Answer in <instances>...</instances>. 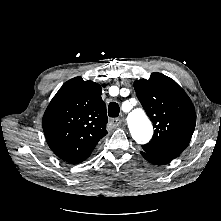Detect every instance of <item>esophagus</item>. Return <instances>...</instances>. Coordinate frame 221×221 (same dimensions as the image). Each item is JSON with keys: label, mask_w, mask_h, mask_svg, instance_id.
Returning a JSON list of instances; mask_svg holds the SVG:
<instances>
[{"label": "esophagus", "mask_w": 221, "mask_h": 221, "mask_svg": "<svg viewBox=\"0 0 221 221\" xmlns=\"http://www.w3.org/2000/svg\"><path fill=\"white\" fill-rule=\"evenodd\" d=\"M121 123H122V119H120V118H113L110 120V125L112 127H118L121 125Z\"/></svg>", "instance_id": "1"}]
</instances>
